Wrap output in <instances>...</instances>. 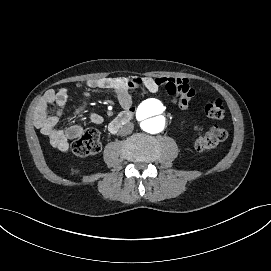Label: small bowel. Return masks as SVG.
<instances>
[{
  "instance_id": "obj_1",
  "label": "small bowel",
  "mask_w": 271,
  "mask_h": 271,
  "mask_svg": "<svg viewBox=\"0 0 271 271\" xmlns=\"http://www.w3.org/2000/svg\"><path fill=\"white\" fill-rule=\"evenodd\" d=\"M87 86L91 89H101L114 93L121 106L127 110L133 107L134 99L139 95H147L165 89L171 101L181 109H186L196 94L195 88L187 79L181 78H141V77H104L89 79ZM90 99L88 91L82 92V99L73 111V117H79L86 112ZM68 100V91L65 88L50 89L39 99L35 114L34 124L47 138L49 143L58 150L65 151L69 141L79 137L84 129L80 125L59 128L58 124L63 116ZM55 106V111L50 112V106ZM92 124L100 125L103 118L98 113H90Z\"/></svg>"
}]
</instances>
